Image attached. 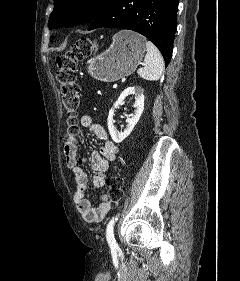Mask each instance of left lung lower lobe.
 Returning a JSON list of instances; mask_svg holds the SVG:
<instances>
[{
  "label": "left lung lower lobe",
  "mask_w": 240,
  "mask_h": 281,
  "mask_svg": "<svg viewBox=\"0 0 240 281\" xmlns=\"http://www.w3.org/2000/svg\"><path fill=\"white\" fill-rule=\"evenodd\" d=\"M179 0H110L89 30L101 27L136 31L152 41L170 62Z\"/></svg>",
  "instance_id": "0a47b994"
}]
</instances>
